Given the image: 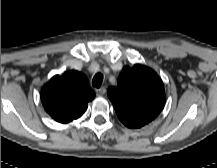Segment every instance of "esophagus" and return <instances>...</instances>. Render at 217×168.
<instances>
[{
	"label": "esophagus",
	"mask_w": 217,
	"mask_h": 168,
	"mask_svg": "<svg viewBox=\"0 0 217 168\" xmlns=\"http://www.w3.org/2000/svg\"><path fill=\"white\" fill-rule=\"evenodd\" d=\"M105 93H106L105 87H101V88L96 90V95L97 96H103V95H105Z\"/></svg>",
	"instance_id": "1"
}]
</instances>
